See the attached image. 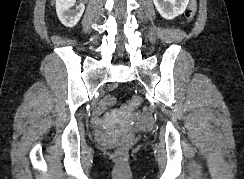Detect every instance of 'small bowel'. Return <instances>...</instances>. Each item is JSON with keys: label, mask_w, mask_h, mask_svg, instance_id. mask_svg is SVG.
I'll list each match as a JSON object with an SVG mask.
<instances>
[{"label": "small bowel", "mask_w": 244, "mask_h": 179, "mask_svg": "<svg viewBox=\"0 0 244 179\" xmlns=\"http://www.w3.org/2000/svg\"><path fill=\"white\" fill-rule=\"evenodd\" d=\"M140 126H152V121L150 116H141L140 117Z\"/></svg>", "instance_id": "1"}]
</instances>
